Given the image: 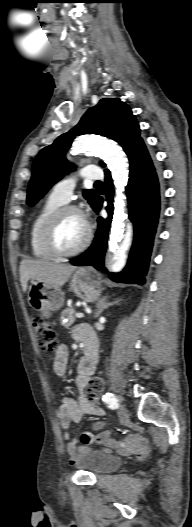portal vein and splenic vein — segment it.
<instances>
[{"instance_id":"18ae733b","label":"portal vein and splenic vein","mask_w":192,"mask_h":527,"mask_svg":"<svg viewBox=\"0 0 192 527\" xmlns=\"http://www.w3.org/2000/svg\"><path fill=\"white\" fill-rule=\"evenodd\" d=\"M75 317H77V318H82V317H84V314H83V313H76V314H75Z\"/></svg>"}]
</instances>
